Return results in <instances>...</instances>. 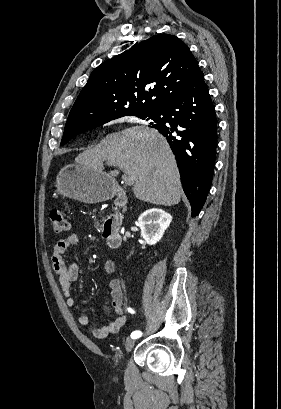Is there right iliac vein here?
<instances>
[{"label": "right iliac vein", "instance_id": "right-iliac-vein-1", "mask_svg": "<svg viewBox=\"0 0 281 409\" xmlns=\"http://www.w3.org/2000/svg\"><path fill=\"white\" fill-rule=\"evenodd\" d=\"M135 345V340L128 338L125 343V348L127 352H130Z\"/></svg>", "mask_w": 281, "mask_h": 409}]
</instances>
